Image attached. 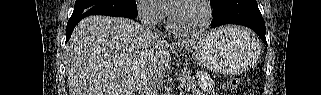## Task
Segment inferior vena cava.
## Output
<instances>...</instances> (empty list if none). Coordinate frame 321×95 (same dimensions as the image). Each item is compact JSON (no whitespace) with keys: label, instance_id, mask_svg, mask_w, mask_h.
<instances>
[{"label":"inferior vena cava","instance_id":"inferior-vena-cava-1","mask_svg":"<svg viewBox=\"0 0 321 95\" xmlns=\"http://www.w3.org/2000/svg\"><path fill=\"white\" fill-rule=\"evenodd\" d=\"M139 95H158L156 85L151 78L143 79L139 86Z\"/></svg>","mask_w":321,"mask_h":95}]
</instances>
